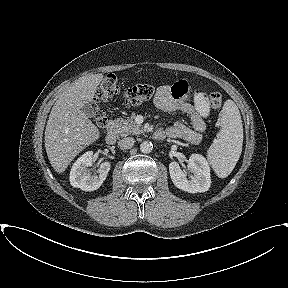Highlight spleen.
<instances>
[{"label":"spleen","instance_id":"spleen-1","mask_svg":"<svg viewBox=\"0 0 288 288\" xmlns=\"http://www.w3.org/2000/svg\"><path fill=\"white\" fill-rule=\"evenodd\" d=\"M221 129L207 151V158L216 175L226 178L238 162L243 144L240 112L232 100H227L220 113Z\"/></svg>","mask_w":288,"mask_h":288}]
</instances>
